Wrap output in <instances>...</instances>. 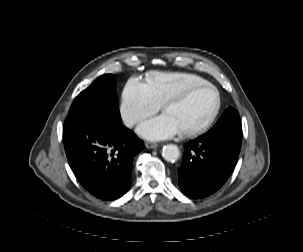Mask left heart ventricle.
Wrapping results in <instances>:
<instances>
[{"mask_svg":"<svg viewBox=\"0 0 303 252\" xmlns=\"http://www.w3.org/2000/svg\"><path fill=\"white\" fill-rule=\"evenodd\" d=\"M215 106L212 89L203 87L193 92L185 101L172 105L166 111L179 130L196 128L211 115Z\"/></svg>","mask_w":303,"mask_h":252,"instance_id":"obj_1","label":"left heart ventricle"}]
</instances>
